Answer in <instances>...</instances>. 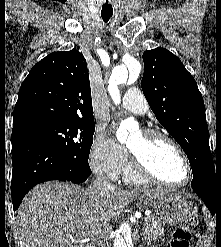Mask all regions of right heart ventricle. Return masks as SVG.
Segmentation results:
<instances>
[{"label": "right heart ventricle", "mask_w": 221, "mask_h": 247, "mask_svg": "<svg viewBox=\"0 0 221 247\" xmlns=\"http://www.w3.org/2000/svg\"><path fill=\"white\" fill-rule=\"evenodd\" d=\"M123 179L127 183L131 184H143L146 183L147 179L141 177L132 167L130 161L126 159L123 170H122Z\"/></svg>", "instance_id": "e07e8e85"}]
</instances>
